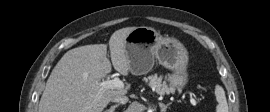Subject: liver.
Listing matches in <instances>:
<instances>
[{
  "label": "liver",
  "mask_w": 270,
  "mask_h": 112,
  "mask_svg": "<svg viewBox=\"0 0 270 112\" xmlns=\"http://www.w3.org/2000/svg\"><path fill=\"white\" fill-rule=\"evenodd\" d=\"M136 27L115 31L109 39L111 61L122 75L130 71L126 38ZM106 44L77 47L66 52L52 70L39 102V112H102L113 96L130 89H102L100 83L110 72Z\"/></svg>",
  "instance_id": "6515ba94"
}]
</instances>
